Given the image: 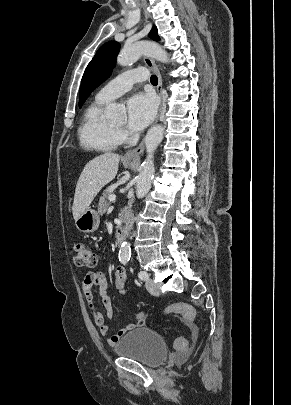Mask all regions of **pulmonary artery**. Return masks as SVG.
<instances>
[{
  "mask_svg": "<svg viewBox=\"0 0 291 405\" xmlns=\"http://www.w3.org/2000/svg\"><path fill=\"white\" fill-rule=\"evenodd\" d=\"M147 78L148 72L143 68L123 72L104 85L96 97L104 101H111L129 91L135 83L143 82Z\"/></svg>",
  "mask_w": 291,
  "mask_h": 405,
  "instance_id": "obj_1",
  "label": "pulmonary artery"
}]
</instances>
